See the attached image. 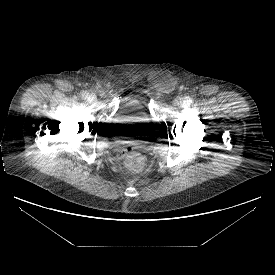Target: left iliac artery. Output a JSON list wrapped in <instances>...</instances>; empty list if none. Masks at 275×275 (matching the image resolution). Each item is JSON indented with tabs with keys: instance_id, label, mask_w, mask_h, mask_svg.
<instances>
[{
	"instance_id": "44dca946",
	"label": "left iliac artery",
	"mask_w": 275,
	"mask_h": 275,
	"mask_svg": "<svg viewBox=\"0 0 275 275\" xmlns=\"http://www.w3.org/2000/svg\"><path fill=\"white\" fill-rule=\"evenodd\" d=\"M186 102H187V103H190V102H191V99H190V98H186Z\"/></svg>"
}]
</instances>
